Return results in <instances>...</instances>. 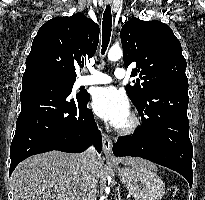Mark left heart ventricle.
<instances>
[{
    "mask_svg": "<svg viewBox=\"0 0 205 200\" xmlns=\"http://www.w3.org/2000/svg\"><path fill=\"white\" fill-rule=\"evenodd\" d=\"M129 119V118H128ZM128 119L126 120V122L122 125V126H125V125H127V123H128ZM121 126V127H122Z\"/></svg>",
    "mask_w": 205,
    "mask_h": 200,
    "instance_id": "b2bd125f",
    "label": "left heart ventricle"
}]
</instances>
